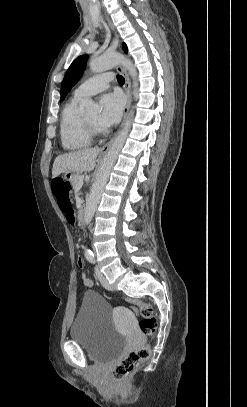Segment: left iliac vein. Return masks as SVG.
<instances>
[{
	"mask_svg": "<svg viewBox=\"0 0 247 407\" xmlns=\"http://www.w3.org/2000/svg\"><path fill=\"white\" fill-rule=\"evenodd\" d=\"M95 272H96L97 278L99 279L101 285L107 290H113V287L109 284L107 278L100 271V269L98 267H95Z\"/></svg>",
	"mask_w": 247,
	"mask_h": 407,
	"instance_id": "left-iliac-vein-1",
	"label": "left iliac vein"
}]
</instances>
